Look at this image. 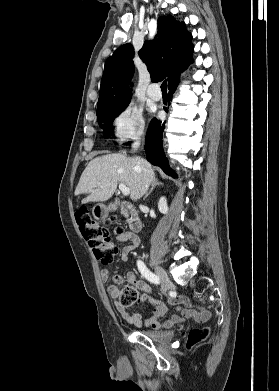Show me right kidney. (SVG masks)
Segmentation results:
<instances>
[{"label": "right kidney", "instance_id": "right-kidney-1", "mask_svg": "<svg viewBox=\"0 0 279 391\" xmlns=\"http://www.w3.org/2000/svg\"><path fill=\"white\" fill-rule=\"evenodd\" d=\"M158 209L162 214L168 213V205L165 197H161L158 202Z\"/></svg>", "mask_w": 279, "mask_h": 391}]
</instances>
